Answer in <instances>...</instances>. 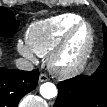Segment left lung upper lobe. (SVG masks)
<instances>
[{
    "label": "left lung upper lobe",
    "mask_w": 107,
    "mask_h": 107,
    "mask_svg": "<svg viewBox=\"0 0 107 107\" xmlns=\"http://www.w3.org/2000/svg\"><path fill=\"white\" fill-rule=\"evenodd\" d=\"M103 33H104V46L106 48L104 52V59H107V27L103 25Z\"/></svg>",
    "instance_id": "5c2ea615"
}]
</instances>
